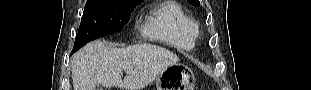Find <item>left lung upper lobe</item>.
Returning <instances> with one entry per match:
<instances>
[{"mask_svg": "<svg viewBox=\"0 0 311 90\" xmlns=\"http://www.w3.org/2000/svg\"><path fill=\"white\" fill-rule=\"evenodd\" d=\"M192 5H199V0H188Z\"/></svg>", "mask_w": 311, "mask_h": 90, "instance_id": "1", "label": "left lung upper lobe"}]
</instances>
